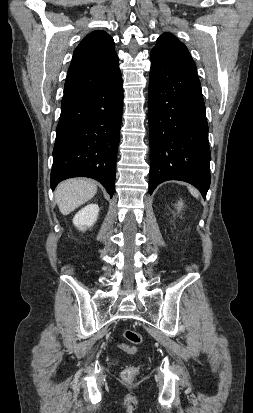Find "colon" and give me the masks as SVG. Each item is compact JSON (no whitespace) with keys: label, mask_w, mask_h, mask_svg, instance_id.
Masks as SVG:
<instances>
[{"label":"colon","mask_w":253,"mask_h":413,"mask_svg":"<svg viewBox=\"0 0 253 413\" xmlns=\"http://www.w3.org/2000/svg\"><path fill=\"white\" fill-rule=\"evenodd\" d=\"M123 337L132 345L130 346H123V348L129 352H134L135 347L138 346L142 342V336L135 330L126 329L123 331ZM138 373V369L136 367H127L122 372V378L126 382H132L135 376Z\"/></svg>","instance_id":"obj_1"}]
</instances>
